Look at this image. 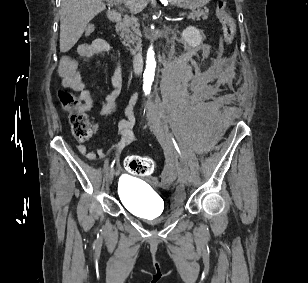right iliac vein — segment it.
I'll return each instance as SVG.
<instances>
[{"label": "right iliac vein", "instance_id": "63e3f726", "mask_svg": "<svg viewBox=\"0 0 308 283\" xmlns=\"http://www.w3.org/2000/svg\"><path fill=\"white\" fill-rule=\"evenodd\" d=\"M114 174H115V171L114 169H112L110 172H109V182L111 183L113 178H114Z\"/></svg>", "mask_w": 308, "mask_h": 283}]
</instances>
